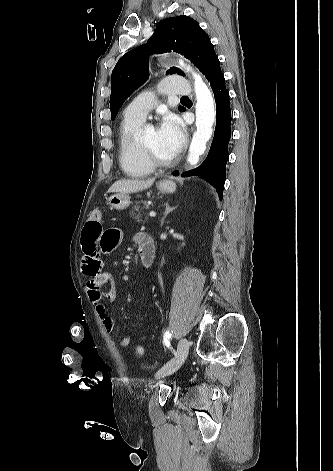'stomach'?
I'll return each mask as SVG.
<instances>
[{"mask_svg": "<svg viewBox=\"0 0 333 471\" xmlns=\"http://www.w3.org/2000/svg\"><path fill=\"white\" fill-rule=\"evenodd\" d=\"M157 189L163 194L175 192L176 184L172 180L164 179L157 183ZM108 204L110 207L123 210L131 204L130 196L127 193H117L109 197Z\"/></svg>", "mask_w": 333, "mask_h": 471, "instance_id": "stomach-1", "label": "stomach"}]
</instances>
